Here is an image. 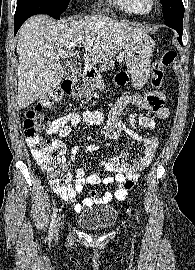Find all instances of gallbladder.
Here are the masks:
<instances>
[{
	"label": "gallbladder",
	"instance_id": "gallbladder-1",
	"mask_svg": "<svg viewBox=\"0 0 195 270\" xmlns=\"http://www.w3.org/2000/svg\"><path fill=\"white\" fill-rule=\"evenodd\" d=\"M64 78L65 79H72L79 75L80 69L77 63L75 62H68L64 64Z\"/></svg>",
	"mask_w": 195,
	"mask_h": 270
}]
</instances>
